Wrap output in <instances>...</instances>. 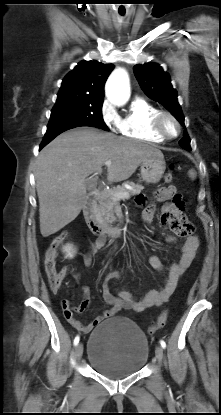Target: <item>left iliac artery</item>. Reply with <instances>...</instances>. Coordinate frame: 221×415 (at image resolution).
I'll list each match as a JSON object with an SVG mask.
<instances>
[{
	"mask_svg": "<svg viewBox=\"0 0 221 415\" xmlns=\"http://www.w3.org/2000/svg\"><path fill=\"white\" fill-rule=\"evenodd\" d=\"M160 344H161V347H162V348H166V343H165V341L160 340Z\"/></svg>",
	"mask_w": 221,
	"mask_h": 415,
	"instance_id": "1",
	"label": "left iliac artery"
}]
</instances>
